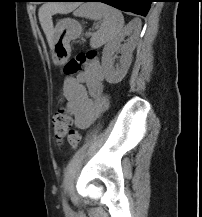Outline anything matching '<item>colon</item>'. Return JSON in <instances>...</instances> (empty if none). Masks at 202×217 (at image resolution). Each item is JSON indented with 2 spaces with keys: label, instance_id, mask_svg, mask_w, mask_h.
<instances>
[{
  "label": "colon",
  "instance_id": "colon-1",
  "mask_svg": "<svg viewBox=\"0 0 202 217\" xmlns=\"http://www.w3.org/2000/svg\"><path fill=\"white\" fill-rule=\"evenodd\" d=\"M95 52L87 54H79L77 57L69 60L63 69L66 76H72L81 71L82 66L88 59L95 57ZM71 113L66 109L58 110L53 116L52 130L53 136L57 142L63 141L65 138L72 148H77L81 142V135L78 130L71 129Z\"/></svg>",
  "mask_w": 202,
  "mask_h": 217
}]
</instances>
